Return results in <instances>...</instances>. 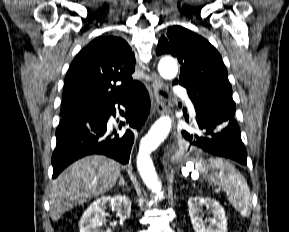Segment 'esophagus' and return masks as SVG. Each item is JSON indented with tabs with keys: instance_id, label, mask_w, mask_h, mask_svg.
Listing matches in <instances>:
<instances>
[{
	"instance_id": "esophagus-1",
	"label": "esophagus",
	"mask_w": 289,
	"mask_h": 232,
	"mask_svg": "<svg viewBox=\"0 0 289 232\" xmlns=\"http://www.w3.org/2000/svg\"><path fill=\"white\" fill-rule=\"evenodd\" d=\"M151 87L154 96L153 113L163 115L167 112V107L159 95V90L163 88V81L156 73H152L151 75Z\"/></svg>"
}]
</instances>
